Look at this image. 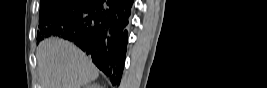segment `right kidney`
<instances>
[{
    "label": "right kidney",
    "instance_id": "ca27d5eb",
    "mask_svg": "<svg viewBox=\"0 0 267 88\" xmlns=\"http://www.w3.org/2000/svg\"><path fill=\"white\" fill-rule=\"evenodd\" d=\"M85 88H102L99 83H89Z\"/></svg>",
    "mask_w": 267,
    "mask_h": 88
}]
</instances>
